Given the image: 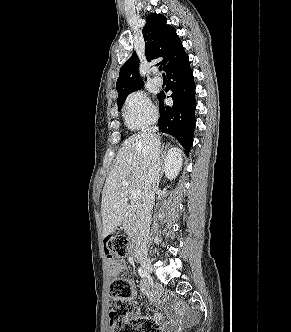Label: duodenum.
<instances>
[{
  "label": "duodenum",
  "instance_id": "1",
  "mask_svg": "<svg viewBox=\"0 0 291 332\" xmlns=\"http://www.w3.org/2000/svg\"><path fill=\"white\" fill-rule=\"evenodd\" d=\"M132 242L137 245L138 244V237L137 236H133L132 237Z\"/></svg>",
  "mask_w": 291,
  "mask_h": 332
}]
</instances>
